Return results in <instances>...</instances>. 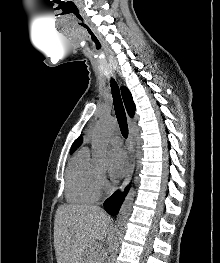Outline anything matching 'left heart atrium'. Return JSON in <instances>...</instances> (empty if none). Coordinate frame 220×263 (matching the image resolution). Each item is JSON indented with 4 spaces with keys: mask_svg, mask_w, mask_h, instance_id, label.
<instances>
[{
    "mask_svg": "<svg viewBox=\"0 0 220 263\" xmlns=\"http://www.w3.org/2000/svg\"><path fill=\"white\" fill-rule=\"evenodd\" d=\"M128 168V158L121 149H114L109 153V175L112 179H120Z\"/></svg>",
    "mask_w": 220,
    "mask_h": 263,
    "instance_id": "obj_1",
    "label": "left heart atrium"
}]
</instances>
